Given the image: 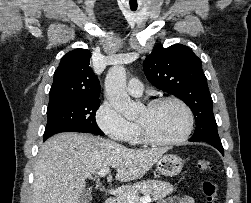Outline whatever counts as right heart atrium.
<instances>
[{
    "label": "right heart atrium",
    "mask_w": 251,
    "mask_h": 203,
    "mask_svg": "<svg viewBox=\"0 0 251 203\" xmlns=\"http://www.w3.org/2000/svg\"><path fill=\"white\" fill-rule=\"evenodd\" d=\"M95 119L103 133L116 142L128 141L134 129V125L117 112L107 100L97 109Z\"/></svg>",
    "instance_id": "1"
}]
</instances>
